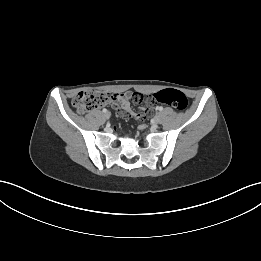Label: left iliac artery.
<instances>
[{
	"mask_svg": "<svg viewBox=\"0 0 261 261\" xmlns=\"http://www.w3.org/2000/svg\"><path fill=\"white\" fill-rule=\"evenodd\" d=\"M156 109L159 110V111H162L163 107L162 106H158Z\"/></svg>",
	"mask_w": 261,
	"mask_h": 261,
	"instance_id": "1",
	"label": "left iliac artery"
}]
</instances>
